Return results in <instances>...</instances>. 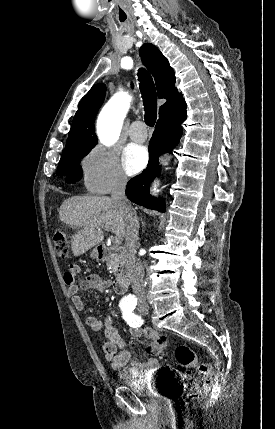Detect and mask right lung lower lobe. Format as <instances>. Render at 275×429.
I'll return each mask as SVG.
<instances>
[{"instance_id":"obj_1","label":"right lung lower lobe","mask_w":275,"mask_h":429,"mask_svg":"<svg viewBox=\"0 0 275 429\" xmlns=\"http://www.w3.org/2000/svg\"><path fill=\"white\" fill-rule=\"evenodd\" d=\"M186 119V105L173 115L158 120L149 146V163L138 176L132 178L126 187V196L136 204L148 209L165 211V203L161 198H153L149 194V183L159 174V156L170 153L178 145L182 136V122Z\"/></svg>"}]
</instances>
